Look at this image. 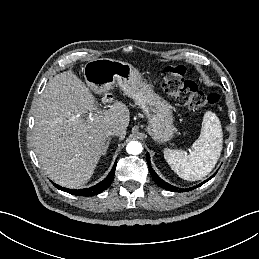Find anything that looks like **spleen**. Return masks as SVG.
Returning a JSON list of instances; mask_svg holds the SVG:
<instances>
[{
  "label": "spleen",
  "instance_id": "spleen-1",
  "mask_svg": "<svg viewBox=\"0 0 259 259\" xmlns=\"http://www.w3.org/2000/svg\"><path fill=\"white\" fill-rule=\"evenodd\" d=\"M223 132L215 113L204 114L199 138L193 143L192 151L164 149V158L171 169L188 181L200 180L215 167L222 151Z\"/></svg>",
  "mask_w": 259,
  "mask_h": 259
}]
</instances>
